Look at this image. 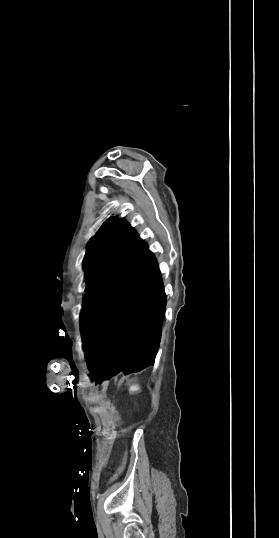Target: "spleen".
<instances>
[{
    "label": "spleen",
    "instance_id": "spleen-1",
    "mask_svg": "<svg viewBox=\"0 0 279 538\" xmlns=\"http://www.w3.org/2000/svg\"><path fill=\"white\" fill-rule=\"evenodd\" d=\"M131 392H134V389H131ZM136 392H139V389H136Z\"/></svg>",
    "mask_w": 279,
    "mask_h": 538
}]
</instances>
